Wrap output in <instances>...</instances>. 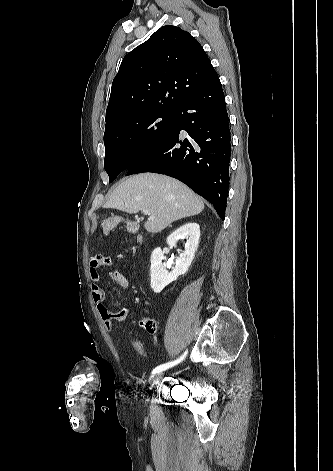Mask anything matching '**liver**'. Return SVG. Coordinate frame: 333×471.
Segmentation results:
<instances>
[{
    "mask_svg": "<svg viewBox=\"0 0 333 471\" xmlns=\"http://www.w3.org/2000/svg\"><path fill=\"white\" fill-rule=\"evenodd\" d=\"M104 208L129 214L149 210L150 216L144 227L150 233H158L174 221L199 214L204 203L189 187L174 178L142 173L118 185Z\"/></svg>",
    "mask_w": 333,
    "mask_h": 471,
    "instance_id": "6515ba94",
    "label": "liver"
}]
</instances>
